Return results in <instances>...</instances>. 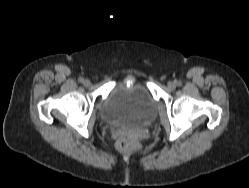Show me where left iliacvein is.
<instances>
[{"instance_id":"obj_1","label":"left iliac vein","mask_w":249,"mask_h":188,"mask_svg":"<svg viewBox=\"0 0 249 188\" xmlns=\"http://www.w3.org/2000/svg\"><path fill=\"white\" fill-rule=\"evenodd\" d=\"M168 88L173 90L175 88V84L173 82L168 83Z\"/></svg>"}]
</instances>
